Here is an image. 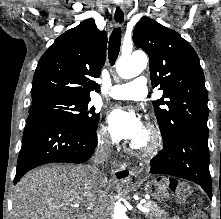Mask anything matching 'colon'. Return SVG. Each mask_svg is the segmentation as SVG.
Wrapping results in <instances>:
<instances>
[{
  "label": "colon",
  "instance_id": "1",
  "mask_svg": "<svg viewBox=\"0 0 221 219\" xmlns=\"http://www.w3.org/2000/svg\"><path fill=\"white\" fill-rule=\"evenodd\" d=\"M186 192L187 188L185 186H183L182 184L177 185L176 195L179 197V199H183ZM189 219H206V216L202 212H196L192 214Z\"/></svg>",
  "mask_w": 221,
  "mask_h": 219
}]
</instances>
